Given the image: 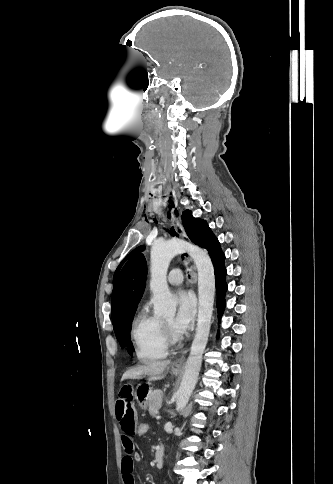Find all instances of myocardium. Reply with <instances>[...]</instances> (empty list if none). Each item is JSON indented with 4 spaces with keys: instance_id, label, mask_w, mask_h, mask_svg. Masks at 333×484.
<instances>
[{
    "instance_id": "f54148a6",
    "label": "myocardium",
    "mask_w": 333,
    "mask_h": 484,
    "mask_svg": "<svg viewBox=\"0 0 333 484\" xmlns=\"http://www.w3.org/2000/svg\"><path fill=\"white\" fill-rule=\"evenodd\" d=\"M164 334L168 344H175L180 341V335L175 332L172 325L165 320H162Z\"/></svg>"
}]
</instances>
